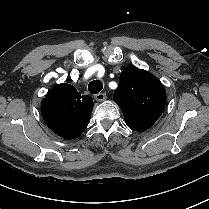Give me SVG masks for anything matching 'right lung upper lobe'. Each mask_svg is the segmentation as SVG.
Returning <instances> with one entry per match:
<instances>
[{"label":"right lung upper lobe","instance_id":"right-lung-upper-lobe-1","mask_svg":"<svg viewBox=\"0 0 209 209\" xmlns=\"http://www.w3.org/2000/svg\"><path fill=\"white\" fill-rule=\"evenodd\" d=\"M93 99L82 95L74 86L62 83L54 86L41 102L46 125L65 139L79 137L90 122Z\"/></svg>","mask_w":209,"mask_h":209}]
</instances>
